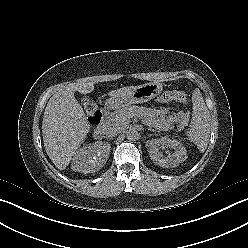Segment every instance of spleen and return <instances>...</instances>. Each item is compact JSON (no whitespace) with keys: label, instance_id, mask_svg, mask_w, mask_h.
<instances>
[{"label":"spleen","instance_id":"3e777b00","mask_svg":"<svg viewBox=\"0 0 248 248\" xmlns=\"http://www.w3.org/2000/svg\"><path fill=\"white\" fill-rule=\"evenodd\" d=\"M192 103L193 114L187 136L204 152L210 137V113L199 89L193 91Z\"/></svg>","mask_w":248,"mask_h":248}]
</instances>
